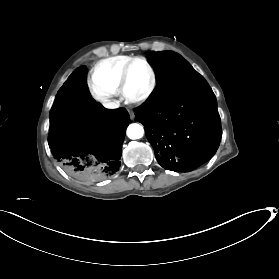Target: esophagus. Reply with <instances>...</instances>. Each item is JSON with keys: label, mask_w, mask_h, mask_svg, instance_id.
Returning a JSON list of instances; mask_svg holds the SVG:
<instances>
[{"label": "esophagus", "mask_w": 279, "mask_h": 279, "mask_svg": "<svg viewBox=\"0 0 279 279\" xmlns=\"http://www.w3.org/2000/svg\"><path fill=\"white\" fill-rule=\"evenodd\" d=\"M129 114H130L131 119H134L135 115H134V112L132 110H129Z\"/></svg>", "instance_id": "obj_1"}]
</instances>
